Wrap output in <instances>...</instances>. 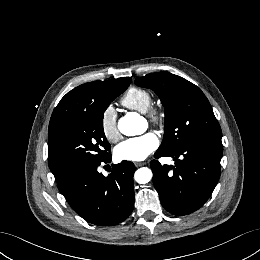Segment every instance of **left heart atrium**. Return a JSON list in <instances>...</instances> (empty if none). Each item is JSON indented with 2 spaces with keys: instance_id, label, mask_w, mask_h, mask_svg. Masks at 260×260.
<instances>
[{
  "instance_id": "39dd6f15",
  "label": "left heart atrium",
  "mask_w": 260,
  "mask_h": 260,
  "mask_svg": "<svg viewBox=\"0 0 260 260\" xmlns=\"http://www.w3.org/2000/svg\"><path fill=\"white\" fill-rule=\"evenodd\" d=\"M159 145V139L154 133L129 138L115 148V156L119 160L142 161L154 152Z\"/></svg>"
}]
</instances>
